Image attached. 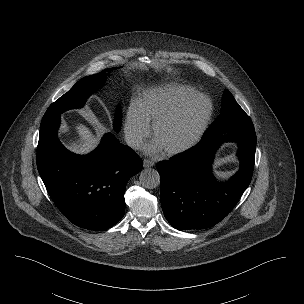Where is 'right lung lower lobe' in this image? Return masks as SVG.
<instances>
[{
	"label": "right lung lower lobe",
	"instance_id": "right-lung-lower-lobe-1",
	"mask_svg": "<svg viewBox=\"0 0 304 304\" xmlns=\"http://www.w3.org/2000/svg\"><path fill=\"white\" fill-rule=\"evenodd\" d=\"M60 114L42 119L37 168L57 208L73 224L105 230L124 215L128 180L140 172L142 159L111 133L88 155H76L59 141Z\"/></svg>",
	"mask_w": 304,
	"mask_h": 304
}]
</instances>
